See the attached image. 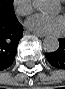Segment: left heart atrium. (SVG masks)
Returning a JSON list of instances; mask_svg holds the SVG:
<instances>
[{"mask_svg": "<svg viewBox=\"0 0 65 89\" xmlns=\"http://www.w3.org/2000/svg\"><path fill=\"white\" fill-rule=\"evenodd\" d=\"M25 28L35 34H60L65 27L64 19L58 15L34 14L24 22Z\"/></svg>", "mask_w": 65, "mask_h": 89, "instance_id": "39dd6f15", "label": "left heart atrium"}]
</instances>
